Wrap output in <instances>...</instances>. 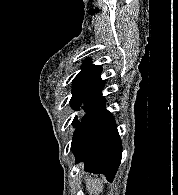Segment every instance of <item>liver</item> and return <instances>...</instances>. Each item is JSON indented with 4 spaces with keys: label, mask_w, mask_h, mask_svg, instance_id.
Listing matches in <instances>:
<instances>
[{
    "label": "liver",
    "mask_w": 178,
    "mask_h": 195,
    "mask_svg": "<svg viewBox=\"0 0 178 195\" xmlns=\"http://www.w3.org/2000/svg\"><path fill=\"white\" fill-rule=\"evenodd\" d=\"M87 190L90 195H99L103 190L102 180L86 176Z\"/></svg>",
    "instance_id": "6515ba94"
}]
</instances>
